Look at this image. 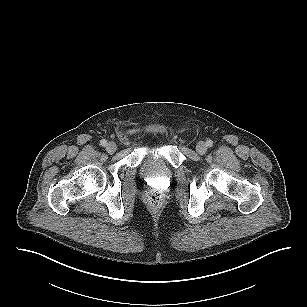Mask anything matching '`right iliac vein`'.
<instances>
[{
    "mask_svg": "<svg viewBox=\"0 0 307 307\" xmlns=\"http://www.w3.org/2000/svg\"><path fill=\"white\" fill-rule=\"evenodd\" d=\"M117 149V146L114 142H109L106 145V151L110 154H113Z\"/></svg>",
    "mask_w": 307,
    "mask_h": 307,
    "instance_id": "63e3f726",
    "label": "right iliac vein"
}]
</instances>
